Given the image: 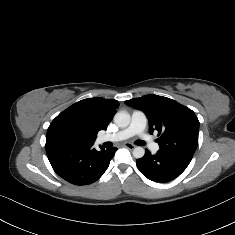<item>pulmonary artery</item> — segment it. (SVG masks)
Masks as SVG:
<instances>
[{
  "label": "pulmonary artery",
  "instance_id": "obj_1",
  "mask_svg": "<svg viewBox=\"0 0 235 235\" xmlns=\"http://www.w3.org/2000/svg\"><path fill=\"white\" fill-rule=\"evenodd\" d=\"M146 126L147 117L145 113L140 110H133L131 114L130 123L127 127L113 133H107L102 136H99L96 142L98 144H102L105 142H121L135 135H143ZM150 148L152 152H157L159 149L158 145L156 144H151Z\"/></svg>",
  "mask_w": 235,
  "mask_h": 235
}]
</instances>
